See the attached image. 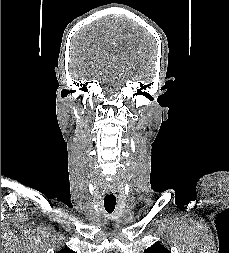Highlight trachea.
<instances>
[{"instance_id": "obj_1", "label": "trachea", "mask_w": 229, "mask_h": 253, "mask_svg": "<svg viewBox=\"0 0 229 253\" xmlns=\"http://www.w3.org/2000/svg\"><path fill=\"white\" fill-rule=\"evenodd\" d=\"M115 205H116V197L106 196L104 198V207L108 213H112L114 211Z\"/></svg>"}]
</instances>
